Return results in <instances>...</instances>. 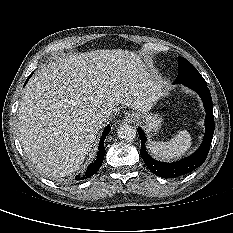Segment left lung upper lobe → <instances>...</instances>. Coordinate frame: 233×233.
I'll return each instance as SVG.
<instances>
[{"mask_svg": "<svg viewBox=\"0 0 233 233\" xmlns=\"http://www.w3.org/2000/svg\"><path fill=\"white\" fill-rule=\"evenodd\" d=\"M178 71L179 74L174 82L175 84L206 82L197 69L181 56H178Z\"/></svg>", "mask_w": 233, "mask_h": 233, "instance_id": "5c2ea615", "label": "left lung upper lobe"}]
</instances>
